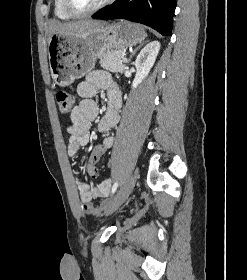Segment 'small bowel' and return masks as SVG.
<instances>
[{"label":"small bowel","mask_w":247,"mask_h":280,"mask_svg":"<svg viewBox=\"0 0 247 280\" xmlns=\"http://www.w3.org/2000/svg\"><path fill=\"white\" fill-rule=\"evenodd\" d=\"M103 89L108 94V105L104 116L98 122V131L102 134V143L106 145V150L113 145V136L110 131L119 121V112L121 109V95L118 87L113 83L109 73L96 70L89 73L85 80L79 83L77 93L81 100L71 111V124L67 127L69 134L67 152L77 165V159L83 147L90 141V132L92 121L97 119L99 107L94 100L97 91ZM76 175L79 171L76 169ZM79 195L83 204V210L87 214L97 215L106 206V199L110 194L111 181L105 179L101 183L90 186L78 179ZM103 200L99 205H94V200Z\"/></svg>","instance_id":"1"}]
</instances>
